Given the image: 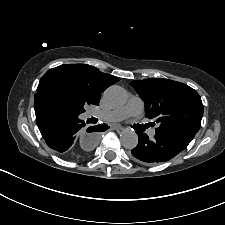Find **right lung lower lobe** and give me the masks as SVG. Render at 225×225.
<instances>
[{
  "label": "right lung lower lobe",
  "mask_w": 225,
  "mask_h": 225,
  "mask_svg": "<svg viewBox=\"0 0 225 225\" xmlns=\"http://www.w3.org/2000/svg\"><path fill=\"white\" fill-rule=\"evenodd\" d=\"M34 109L36 122L45 139L46 144L68 159H81L83 153L75 147L76 137L84 130L85 123L79 119V114L52 101L46 97L35 94ZM108 129L106 124L89 127L88 132L104 131ZM95 139L96 133L89 134ZM93 143L83 146V151L91 149Z\"/></svg>",
  "instance_id": "right-lung-lower-lobe-1"
}]
</instances>
